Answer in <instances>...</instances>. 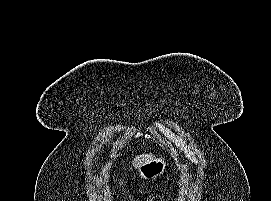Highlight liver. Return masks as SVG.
<instances>
[{
  "mask_svg": "<svg viewBox=\"0 0 271 201\" xmlns=\"http://www.w3.org/2000/svg\"><path fill=\"white\" fill-rule=\"evenodd\" d=\"M153 159H154V156L152 154H142L134 158L133 165L135 168L138 169L142 164L149 162Z\"/></svg>",
  "mask_w": 271,
  "mask_h": 201,
  "instance_id": "liver-1",
  "label": "liver"
}]
</instances>
